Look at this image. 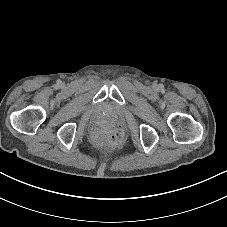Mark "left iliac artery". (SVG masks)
<instances>
[{
	"label": "left iliac artery",
	"mask_w": 227,
	"mask_h": 227,
	"mask_svg": "<svg viewBox=\"0 0 227 227\" xmlns=\"http://www.w3.org/2000/svg\"><path fill=\"white\" fill-rule=\"evenodd\" d=\"M159 86H160V88H164V86L162 84H160Z\"/></svg>",
	"instance_id": "1"
}]
</instances>
